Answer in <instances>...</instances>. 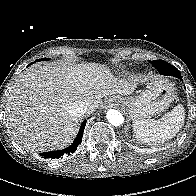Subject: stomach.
<instances>
[{
  "label": "stomach",
  "instance_id": "stomach-1",
  "mask_svg": "<svg viewBox=\"0 0 196 196\" xmlns=\"http://www.w3.org/2000/svg\"><path fill=\"white\" fill-rule=\"evenodd\" d=\"M173 84L161 78L146 82V89L136 96L115 97L132 119H146L164 112L174 100Z\"/></svg>",
  "mask_w": 196,
  "mask_h": 196
}]
</instances>
